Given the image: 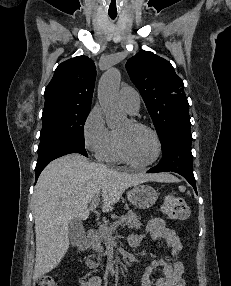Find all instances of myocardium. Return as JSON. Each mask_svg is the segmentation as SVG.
<instances>
[{
    "instance_id": "1",
    "label": "myocardium",
    "mask_w": 231,
    "mask_h": 286,
    "mask_svg": "<svg viewBox=\"0 0 231 286\" xmlns=\"http://www.w3.org/2000/svg\"><path fill=\"white\" fill-rule=\"evenodd\" d=\"M129 123L134 127H139V128H143V129L147 130L153 136V138L155 140V144H156V153L150 161H148L144 164L135 163L134 161H132L128 157V155L126 154V152L124 150V146H123V143H122L119 135L117 133H115L116 150H117L118 156L120 157L121 161H123L124 163H126L127 165H129L132 168H135L138 170L147 169L150 166H152L154 163H156L157 160L161 156L162 142H161L160 136L153 127L149 126L148 124H146L144 122H141V121H138L135 119H130Z\"/></svg>"
}]
</instances>
